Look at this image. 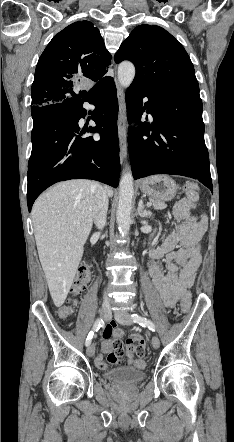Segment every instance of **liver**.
Listing matches in <instances>:
<instances>
[{
  "instance_id": "6515ba94",
  "label": "liver",
  "mask_w": 234,
  "mask_h": 442,
  "mask_svg": "<svg viewBox=\"0 0 234 442\" xmlns=\"http://www.w3.org/2000/svg\"><path fill=\"white\" fill-rule=\"evenodd\" d=\"M91 185L88 180L58 183L32 208L39 259L56 307L67 298L92 229ZM104 189L113 196L109 186Z\"/></svg>"
}]
</instances>
